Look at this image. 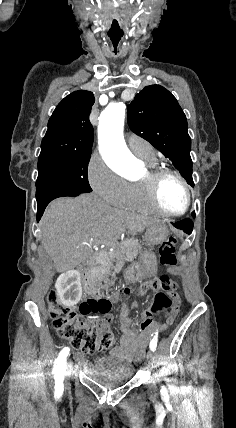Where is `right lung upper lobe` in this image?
I'll return each instance as SVG.
<instances>
[{
	"label": "right lung upper lobe",
	"instance_id": "right-lung-upper-lobe-1",
	"mask_svg": "<svg viewBox=\"0 0 236 428\" xmlns=\"http://www.w3.org/2000/svg\"><path fill=\"white\" fill-rule=\"evenodd\" d=\"M94 101L93 93L86 90L66 96L49 119L40 154H91L93 127L89 114Z\"/></svg>",
	"mask_w": 236,
	"mask_h": 428
}]
</instances>
